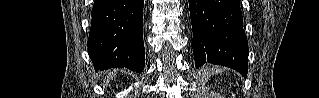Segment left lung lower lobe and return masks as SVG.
<instances>
[{
  "label": "left lung lower lobe",
  "mask_w": 319,
  "mask_h": 98,
  "mask_svg": "<svg viewBox=\"0 0 319 98\" xmlns=\"http://www.w3.org/2000/svg\"><path fill=\"white\" fill-rule=\"evenodd\" d=\"M189 9L195 66L223 65L246 77L248 44L239 1L189 0Z\"/></svg>",
  "instance_id": "obj_1"
}]
</instances>
